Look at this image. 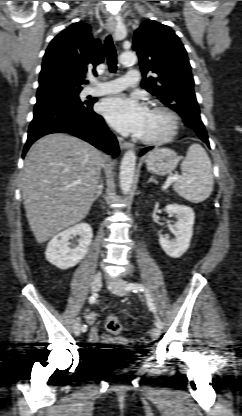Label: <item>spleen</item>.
Returning a JSON list of instances; mask_svg holds the SVG:
<instances>
[{
	"label": "spleen",
	"mask_w": 242,
	"mask_h": 416,
	"mask_svg": "<svg viewBox=\"0 0 242 416\" xmlns=\"http://www.w3.org/2000/svg\"><path fill=\"white\" fill-rule=\"evenodd\" d=\"M182 176L173 189L186 200L199 203L206 200L213 189V172L210 158L200 144H192L181 163Z\"/></svg>",
	"instance_id": "3e777b00"
}]
</instances>
